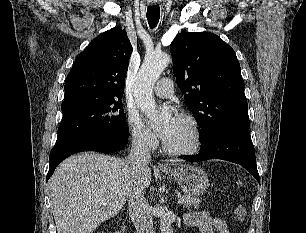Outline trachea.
<instances>
[{"label": "trachea", "mask_w": 306, "mask_h": 233, "mask_svg": "<svg viewBox=\"0 0 306 233\" xmlns=\"http://www.w3.org/2000/svg\"><path fill=\"white\" fill-rule=\"evenodd\" d=\"M147 20L151 29L155 28L160 19V7L159 5L148 6L147 8Z\"/></svg>", "instance_id": "1"}]
</instances>
